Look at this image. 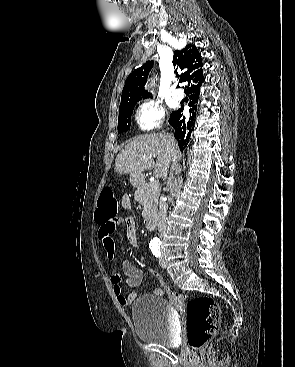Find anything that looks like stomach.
<instances>
[{"instance_id":"0dacf381","label":"stomach","mask_w":295,"mask_h":367,"mask_svg":"<svg viewBox=\"0 0 295 367\" xmlns=\"http://www.w3.org/2000/svg\"><path fill=\"white\" fill-rule=\"evenodd\" d=\"M130 182L134 187H139L144 183V177L142 174H131Z\"/></svg>"}]
</instances>
